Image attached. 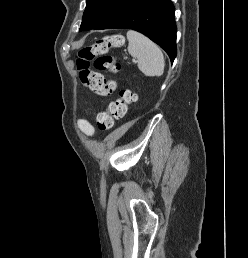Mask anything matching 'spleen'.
Masks as SVG:
<instances>
[{"instance_id":"spleen-1","label":"spleen","mask_w":248,"mask_h":258,"mask_svg":"<svg viewBox=\"0 0 248 258\" xmlns=\"http://www.w3.org/2000/svg\"><path fill=\"white\" fill-rule=\"evenodd\" d=\"M128 52L138 60V67L149 77H159L164 72V56L161 49L145 35L129 30L127 32Z\"/></svg>"}]
</instances>
